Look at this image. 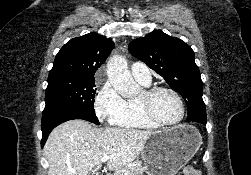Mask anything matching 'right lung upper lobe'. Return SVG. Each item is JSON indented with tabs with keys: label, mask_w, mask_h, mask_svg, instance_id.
<instances>
[{
	"label": "right lung upper lobe",
	"mask_w": 251,
	"mask_h": 175,
	"mask_svg": "<svg viewBox=\"0 0 251 175\" xmlns=\"http://www.w3.org/2000/svg\"><path fill=\"white\" fill-rule=\"evenodd\" d=\"M113 48L111 39L95 32L73 38L56 55L48 78L95 83V72Z\"/></svg>",
	"instance_id": "1"
}]
</instances>
